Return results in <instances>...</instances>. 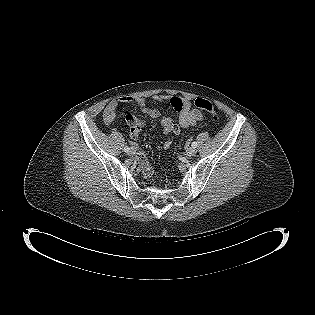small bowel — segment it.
Returning <instances> with one entry per match:
<instances>
[{
    "label": "small bowel",
    "instance_id": "small-bowel-1",
    "mask_svg": "<svg viewBox=\"0 0 315 315\" xmlns=\"http://www.w3.org/2000/svg\"><path fill=\"white\" fill-rule=\"evenodd\" d=\"M151 99L155 102H168L176 112L177 119L174 121L170 117L161 116L160 112L155 108L146 106L147 99L145 97L124 96L112 100L104 110V121L111 124L115 120L116 110L120 103H135L139 110L151 119H160V125L164 134H179L182 128L193 126L203 119V113L198 108H193L190 100L170 94H154ZM143 123L132 129L130 135L132 138L137 137ZM170 142L164 143V149L170 147ZM137 163L142 167L145 178H150L153 174V169L149 164L146 156L143 153H137Z\"/></svg>",
    "mask_w": 315,
    "mask_h": 315
}]
</instances>
